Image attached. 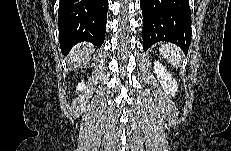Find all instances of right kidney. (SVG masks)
I'll use <instances>...</instances> for the list:
<instances>
[{
	"label": "right kidney",
	"instance_id": "obj_1",
	"mask_svg": "<svg viewBox=\"0 0 231 151\" xmlns=\"http://www.w3.org/2000/svg\"><path fill=\"white\" fill-rule=\"evenodd\" d=\"M85 89H86V85H85V83L83 81L78 83L77 90L83 91Z\"/></svg>",
	"mask_w": 231,
	"mask_h": 151
}]
</instances>
